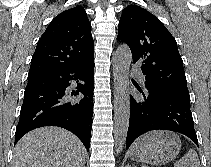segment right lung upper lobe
<instances>
[{
  "mask_svg": "<svg viewBox=\"0 0 211 167\" xmlns=\"http://www.w3.org/2000/svg\"><path fill=\"white\" fill-rule=\"evenodd\" d=\"M85 10L76 6L57 15L37 43L28 81L80 66L94 58V42Z\"/></svg>",
  "mask_w": 211,
  "mask_h": 167,
  "instance_id": "cb5924a9",
  "label": "right lung upper lobe"
}]
</instances>
